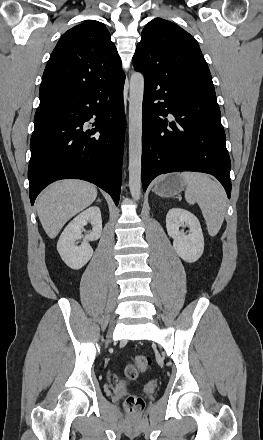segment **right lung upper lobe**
<instances>
[{
  "instance_id": "obj_1",
  "label": "right lung upper lobe",
  "mask_w": 263,
  "mask_h": 440,
  "mask_svg": "<svg viewBox=\"0 0 263 440\" xmlns=\"http://www.w3.org/2000/svg\"><path fill=\"white\" fill-rule=\"evenodd\" d=\"M123 78L120 56L105 25L84 22L68 30L54 48L40 85L39 107Z\"/></svg>"
}]
</instances>
